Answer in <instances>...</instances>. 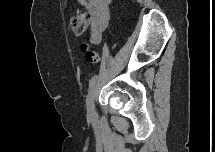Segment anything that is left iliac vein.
I'll return each instance as SVG.
<instances>
[{"mask_svg": "<svg viewBox=\"0 0 215 152\" xmlns=\"http://www.w3.org/2000/svg\"><path fill=\"white\" fill-rule=\"evenodd\" d=\"M95 90H96V84H94L87 97L86 101V108H87V114L90 119H95L97 116L95 106H94V95H95Z\"/></svg>", "mask_w": 215, "mask_h": 152, "instance_id": "obj_1", "label": "left iliac vein"}]
</instances>
